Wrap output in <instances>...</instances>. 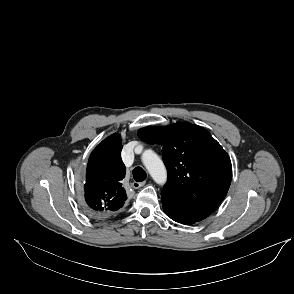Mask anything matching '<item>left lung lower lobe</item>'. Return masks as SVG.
<instances>
[{"label":"left lung lower lobe","instance_id":"obj_1","mask_svg":"<svg viewBox=\"0 0 294 294\" xmlns=\"http://www.w3.org/2000/svg\"><path fill=\"white\" fill-rule=\"evenodd\" d=\"M163 209H164L165 214L168 215L171 219H173L176 222H179V223H182V224H187V225L198 222L195 219L186 217L181 212L172 210V209L167 208L165 206H163Z\"/></svg>","mask_w":294,"mask_h":294}]
</instances>
